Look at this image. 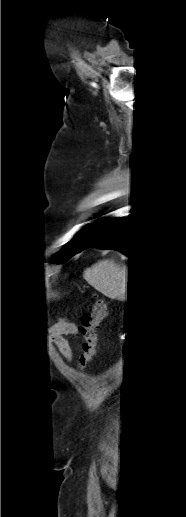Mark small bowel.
Here are the masks:
<instances>
[{
	"mask_svg": "<svg viewBox=\"0 0 186 517\" xmlns=\"http://www.w3.org/2000/svg\"><path fill=\"white\" fill-rule=\"evenodd\" d=\"M77 334V326L74 323L67 320L59 321L52 327L50 331L52 342L56 345L59 352L67 361L72 360V349L66 337L76 336Z\"/></svg>",
	"mask_w": 186,
	"mask_h": 517,
	"instance_id": "obj_1",
	"label": "small bowel"
}]
</instances>
